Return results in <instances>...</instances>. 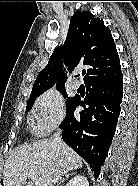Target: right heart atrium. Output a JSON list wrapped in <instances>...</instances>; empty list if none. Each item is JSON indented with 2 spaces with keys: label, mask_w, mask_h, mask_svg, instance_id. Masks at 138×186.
<instances>
[{
  "label": "right heart atrium",
  "mask_w": 138,
  "mask_h": 186,
  "mask_svg": "<svg viewBox=\"0 0 138 186\" xmlns=\"http://www.w3.org/2000/svg\"><path fill=\"white\" fill-rule=\"evenodd\" d=\"M64 117L65 103L57 89L50 88L37 98L34 122L41 133H48L58 127Z\"/></svg>",
  "instance_id": "obj_1"
}]
</instances>
